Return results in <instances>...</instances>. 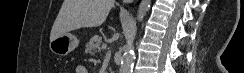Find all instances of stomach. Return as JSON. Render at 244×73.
<instances>
[{"label":"stomach","instance_id":"0dacf381","mask_svg":"<svg viewBox=\"0 0 244 73\" xmlns=\"http://www.w3.org/2000/svg\"><path fill=\"white\" fill-rule=\"evenodd\" d=\"M79 45L77 37L71 33L63 34L50 41L49 48L52 53L59 56H66Z\"/></svg>","mask_w":244,"mask_h":73}]
</instances>
